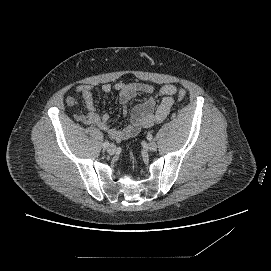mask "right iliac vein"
I'll list each match as a JSON object with an SVG mask.
<instances>
[{
    "mask_svg": "<svg viewBox=\"0 0 271 271\" xmlns=\"http://www.w3.org/2000/svg\"><path fill=\"white\" fill-rule=\"evenodd\" d=\"M115 151H116L115 145H114V144H110V145L108 146V148H107V152H108L109 154H114Z\"/></svg>",
    "mask_w": 271,
    "mask_h": 271,
    "instance_id": "right-iliac-vein-1",
    "label": "right iliac vein"
}]
</instances>
